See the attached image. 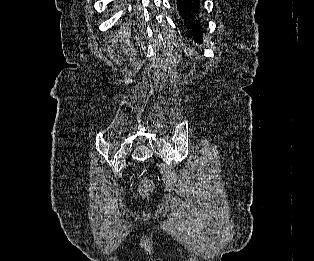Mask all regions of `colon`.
<instances>
[{
  "label": "colon",
  "instance_id": "1",
  "mask_svg": "<svg viewBox=\"0 0 314 261\" xmlns=\"http://www.w3.org/2000/svg\"><path fill=\"white\" fill-rule=\"evenodd\" d=\"M153 188H154V186H153L152 181L149 179H144L140 185V193L143 196H148L152 193Z\"/></svg>",
  "mask_w": 314,
  "mask_h": 261
}]
</instances>
